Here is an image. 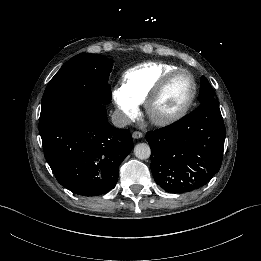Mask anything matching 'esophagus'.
Wrapping results in <instances>:
<instances>
[{"mask_svg":"<svg viewBox=\"0 0 261 261\" xmlns=\"http://www.w3.org/2000/svg\"><path fill=\"white\" fill-rule=\"evenodd\" d=\"M132 136H133V138H135V139H140V138H142V137L144 136V134H143L142 132H140V131H134V132L132 133Z\"/></svg>","mask_w":261,"mask_h":261,"instance_id":"34e87169","label":"esophagus"}]
</instances>
